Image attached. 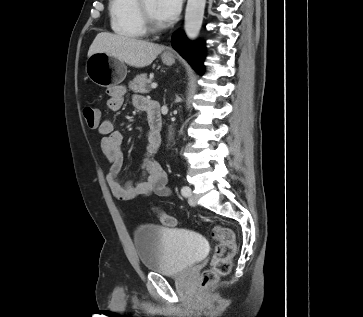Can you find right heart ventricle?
Returning a JSON list of instances; mask_svg holds the SVG:
<instances>
[{
  "label": "right heart ventricle",
  "instance_id": "e07e8e85",
  "mask_svg": "<svg viewBox=\"0 0 363 317\" xmlns=\"http://www.w3.org/2000/svg\"><path fill=\"white\" fill-rule=\"evenodd\" d=\"M109 13L111 29L115 34L126 38L146 35L137 12V0H110Z\"/></svg>",
  "mask_w": 363,
  "mask_h": 317
}]
</instances>
